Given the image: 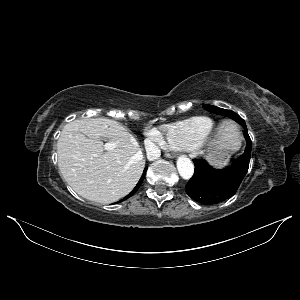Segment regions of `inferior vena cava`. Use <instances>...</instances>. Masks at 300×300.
I'll use <instances>...</instances> for the list:
<instances>
[{
    "instance_id": "inferior-vena-cava-1",
    "label": "inferior vena cava",
    "mask_w": 300,
    "mask_h": 300,
    "mask_svg": "<svg viewBox=\"0 0 300 300\" xmlns=\"http://www.w3.org/2000/svg\"><path fill=\"white\" fill-rule=\"evenodd\" d=\"M147 156L150 160H154L160 157L161 151L156 144L147 143L146 144Z\"/></svg>"
}]
</instances>
